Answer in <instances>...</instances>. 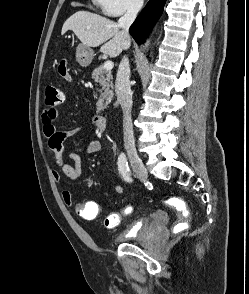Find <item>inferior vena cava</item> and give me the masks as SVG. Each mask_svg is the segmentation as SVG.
Masks as SVG:
<instances>
[{"mask_svg":"<svg viewBox=\"0 0 249 294\" xmlns=\"http://www.w3.org/2000/svg\"><path fill=\"white\" fill-rule=\"evenodd\" d=\"M143 6L142 0H133L129 5L127 12L119 19L118 26L122 29L123 34L126 37L124 48L127 49L130 46V38L128 30L135 20L138 12ZM130 66L126 56L123 57L119 64L116 81L115 92L117 100L121 105L123 111V135L124 145L126 148H134V134L132 125V92L130 87Z\"/></svg>","mask_w":249,"mask_h":294,"instance_id":"inferior-vena-cava-1","label":"inferior vena cava"}]
</instances>
